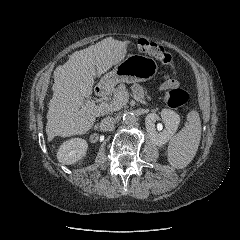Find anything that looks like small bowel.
<instances>
[{
    "label": "small bowel",
    "mask_w": 240,
    "mask_h": 240,
    "mask_svg": "<svg viewBox=\"0 0 240 240\" xmlns=\"http://www.w3.org/2000/svg\"><path fill=\"white\" fill-rule=\"evenodd\" d=\"M178 85H179V83H178L177 80L172 79V78L167 76V77H165V81L162 84L161 89L162 90L173 89V88L178 87ZM134 92L137 96H139V97L142 96V90L139 86L134 87Z\"/></svg>",
    "instance_id": "small-bowel-1"
}]
</instances>
